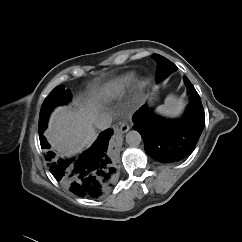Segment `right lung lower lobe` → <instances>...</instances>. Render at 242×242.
<instances>
[{
    "label": "right lung lower lobe",
    "mask_w": 242,
    "mask_h": 242,
    "mask_svg": "<svg viewBox=\"0 0 242 242\" xmlns=\"http://www.w3.org/2000/svg\"><path fill=\"white\" fill-rule=\"evenodd\" d=\"M111 133L101 132L87 151L70 160L57 158L46 138L39 134L41 148L46 151L45 157L55 179L79 197L98 198L109 191L116 173L113 160L107 154Z\"/></svg>",
    "instance_id": "obj_1"
}]
</instances>
